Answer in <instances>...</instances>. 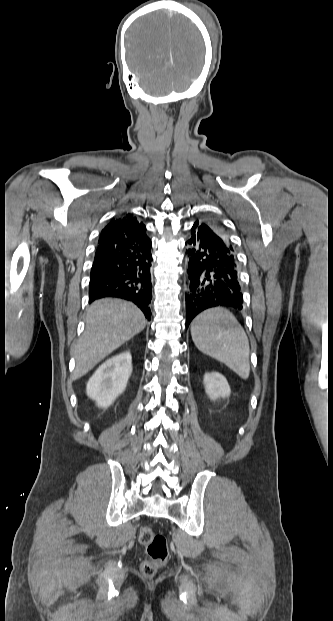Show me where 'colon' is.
Wrapping results in <instances>:
<instances>
[{"mask_svg":"<svg viewBox=\"0 0 333 621\" xmlns=\"http://www.w3.org/2000/svg\"><path fill=\"white\" fill-rule=\"evenodd\" d=\"M139 541L145 546L147 558L140 565L141 573L145 577H153L162 568L168 559L169 551L165 536L156 534L147 526L139 531Z\"/></svg>","mask_w":333,"mask_h":621,"instance_id":"1","label":"colon"}]
</instances>
